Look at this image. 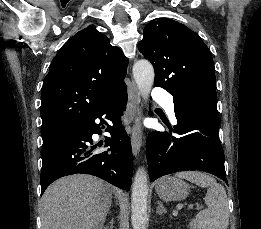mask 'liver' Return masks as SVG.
<instances>
[{
  "mask_svg": "<svg viewBox=\"0 0 261 229\" xmlns=\"http://www.w3.org/2000/svg\"><path fill=\"white\" fill-rule=\"evenodd\" d=\"M112 185L92 175H70L46 189L41 229H103L112 205Z\"/></svg>",
  "mask_w": 261,
  "mask_h": 229,
  "instance_id": "6515ba94",
  "label": "liver"
}]
</instances>
